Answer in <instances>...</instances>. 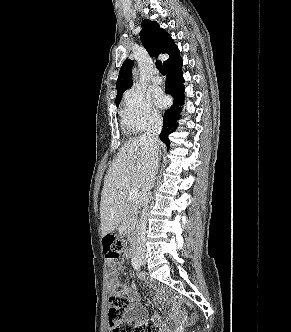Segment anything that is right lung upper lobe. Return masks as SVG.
I'll return each mask as SVG.
<instances>
[{
    "mask_svg": "<svg viewBox=\"0 0 291 332\" xmlns=\"http://www.w3.org/2000/svg\"><path fill=\"white\" fill-rule=\"evenodd\" d=\"M142 31L140 32V39L151 56L159 54H168L169 59L163 63V66L172 63L180 57L178 47L175 45L173 39L161 29L157 22L144 20L142 22ZM132 85V62L126 60L119 71L117 79V96L116 102L121 100L122 94Z\"/></svg>",
    "mask_w": 291,
    "mask_h": 332,
    "instance_id": "obj_1",
    "label": "right lung upper lobe"
}]
</instances>
